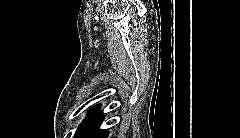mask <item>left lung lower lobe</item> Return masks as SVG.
<instances>
[{
    "instance_id": "0a47b994",
    "label": "left lung lower lobe",
    "mask_w": 240,
    "mask_h": 138,
    "mask_svg": "<svg viewBox=\"0 0 240 138\" xmlns=\"http://www.w3.org/2000/svg\"><path fill=\"white\" fill-rule=\"evenodd\" d=\"M104 120L103 112L98 111L91 119L88 125L83 129L78 138H107L109 132L106 130H99V126Z\"/></svg>"
}]
</instances>
